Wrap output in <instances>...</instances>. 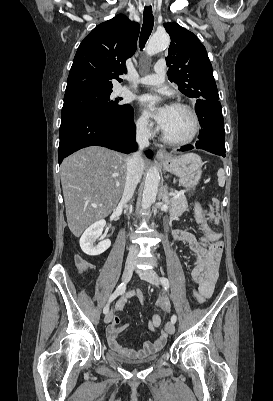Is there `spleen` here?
Returning a JSON list of instances; mask_svg holds the SVG:
<instances>
[{"mask_svg": "<svg viewBox=\"0 0 273 401\" xmlns=\"http://www.w3.org/2000/svg\"><path fill=\"white\" fill-rule=\"evenodd\" d=\"M224 174H225V172H224L223 168H219V170L217 172L219 186H224V184H225Z\"/></svg>", "mask_w": 273, "mask_h": 401, "instance_id": "obj_1", "label": "spleen"}]
</instances>
